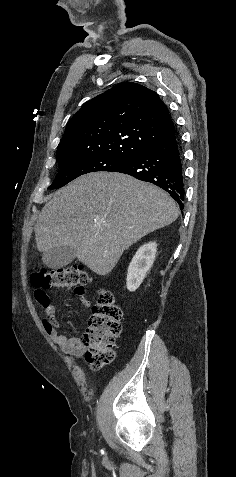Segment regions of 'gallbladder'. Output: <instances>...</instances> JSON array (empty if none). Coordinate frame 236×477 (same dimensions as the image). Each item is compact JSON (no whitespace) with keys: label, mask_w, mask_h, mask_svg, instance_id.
Wrapping results in <instances>:
<instances>
[{"label":"gallbladder","mask_w":236,"mask_h":477,"mask_svg":"<svg viewBox=\"0 0 236 477\" xmlns=\"http://www.w3.org/2000/svg\"><path fill=\"white\" fill-rule=\"evenodd\" d=\"M75 251L70 246H62L43 253V262L52 269L62 268L75 259Z\"/></svg>","instance_id":"bac80fb5"}]
</instances>
